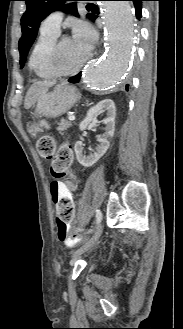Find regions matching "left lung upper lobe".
I'll return each instance as SVG.
<instances>
[{"label":"left lung upper lobe","instance_id":"1","mask_svg":"<svg viewBox=\"0 0 183 329\" xmlns=\"http://www.w3.org/2000/svg\"><path fill=\"white\" fill-rule=\"evenodd\" d=\"M26 2L27 9L21 18L22 37L19 40L20 65L24 66L28 51L33 44L39 24L51 12L55 10L67 11L68 6L63 4L66 1L73 0H23ZM71 14L78 16L76 4L69 5ZM93 14L88 13L87 17L93 20Z\"/></svg>","mask_w":183,"mask_h":329}]
</instances>
